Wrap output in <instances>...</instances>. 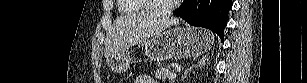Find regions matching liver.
Here are the masks:
<instances>
[{
  "label": "liver",
  "instance_id": "1",
  "mask_svg": "<svg viewBox=\"0 0 307 83\" xmlns=\"http://www.w3.org/2000/svg\"><path fill=\"white\" fill-rule=\"evenodd\" d=\"M178 23V19L147 12L125 16L113 25L107 37L104 55L107 59L122 49L148 40Z\"/></svg>",
  "mask_w": 307,
  "mask_h": 83
}]
</instances>
